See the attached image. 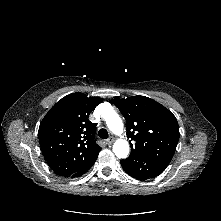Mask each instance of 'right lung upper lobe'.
Instances as JSON below:
<instances>
[{"label":"right lung upper lobe","mask_w":221,"mask_h":221,"mask_svg":"<svg viewBox=\"0 0 221 221\" xmlns=\"http://www.w3.org/2000/svg\"><path fill=\"white\" fill-rule=\"evenodd\" d=\"M102 98L77 92L59 100L40 123L38 136L44 158L59 176L70 177L97 159L95 125L89 114Z\"/></svg>","instance_id":"cb5924a9"}]
</instances>
